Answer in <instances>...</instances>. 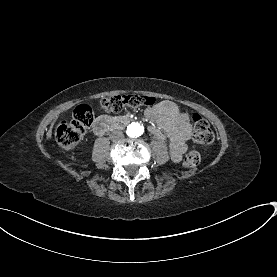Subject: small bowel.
<instances>
[{"instance_id": "c3829d8e", "label": "small bowel", "mask_w": 277, "mask_h": 277, "mask_svg": "<svg viewBox=\"0 0 277 277\" xmlns=\"http://www.w3.org/2000/svg\"><path fill=\"white\" fill-rule=\"evenodd\" d=\"M145 115L154 123L149 128L150 133L160 141H168L172 160L181 161L187 149L186 142L193 133L188 115L170 100H163L148 108Z\"/></svg>"}]
</instances>
